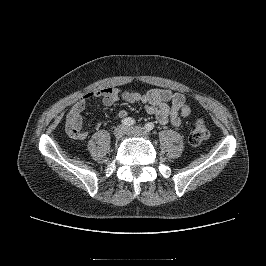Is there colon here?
<instances>
[{"instance_id": "colon-1", "label": "colon", "mask_w": 266, "mask_h": 266, "mask_svg": "<svg viewBox=\"0 0 266 266\" xmlns=\"http://www.w3.org/2000/svg\"><path fill=\"white\" fill-rule=\"evenodd\" d=\"M209 136L207 125L203 119H197L193 125L189 136V142L192 145H199Z\"/></svg>"}]
</instances>
